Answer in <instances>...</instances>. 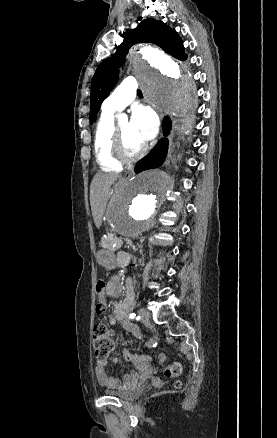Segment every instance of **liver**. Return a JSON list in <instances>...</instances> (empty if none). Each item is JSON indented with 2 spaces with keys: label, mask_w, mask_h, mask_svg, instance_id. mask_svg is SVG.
Wrapping results in <instances>:
<instances>
[{
  "label": "liver",
  "mask_w": 277,
  "mask_h": 438,
  "mask_svg": "<svg viewBox=\"0 0 277 438\" xmlns=\"http://www.w3.org/2000/svg\"><path fill=\"white\" fill-rule=\"evenodd\" d=\"M118 178V174H102V172H98L92 180L90 188V204L94 224L98 230L102 226V218L104 216L107 202L110 198L109 190Z\"/></svg>",
  "instance_id": "1"
}]
</instances>
